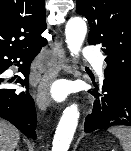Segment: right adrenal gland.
Masks as SVG:
<instances>
[{
    "label": "right adrenal gland",
    "instance_id": "1",
    "mask_svg": "<svg viewBox=\"0 0 131 151\" xmlns=\"http://www.w3.org/2000/svg\"><path fill=\"white\" fill-rule=\"evenodd\" d=\"M16 151H20L19 146H16Z\"/></svg>",
    "mask_w": 131,
    "mask_h": 151
}]
</instances>
